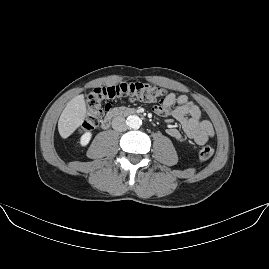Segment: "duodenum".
Here are the masks:
<instances>
[{
    "label": "duodenum",
    "mask_w": 269,
    "mask_h": 269,
    "mask_svg": "<svg viewBox=\"0 0 269 269\" xmlns=\"http://www.w3.org/2000/svg\"><path fill=\"white\" fill-rule=\"evenodd\" d=\"M136 114H138V111L134 108H127V107L113 108L103 119L101 126L102 128L106 129L110 126L113 119L119 118V117H127L131 115H136Z\"/></svg>",
    "instance_id": "410a0bca"
}]
</instances>
